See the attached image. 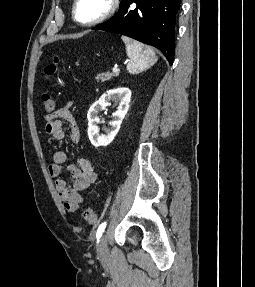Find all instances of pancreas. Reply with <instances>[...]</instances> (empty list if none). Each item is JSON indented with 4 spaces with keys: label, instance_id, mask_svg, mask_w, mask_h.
Returning a JSON list of instances; mask_svg holds the SVG:
<instances>
[{
    "label": "pancreas",
    "instance_id": "cf45deb5",
    "mask_svg": "<svg viewBox=\"0 0 255 287\" xmlns=\"http://www.w3.org/2000/svg\"><path fill=\"white\" fill-rule=\"evenodd\" d=\"M119 72H104V74H98L96 80L97 82H106V80H111L112 76H118Z\"/></svg>",
    "mask_w": 255,
    "mask_h": 287
}]
</instances>
